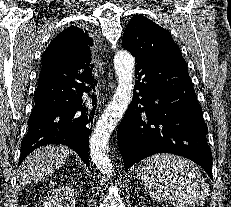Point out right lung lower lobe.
<instances>
[{
	"label": "right lung lower lobe",
	"instance_id": "right-lung-lower-lobe-1",
	"mask_svg": "<svg viewBox=\"0 0 231 207\" xmlns=\"http://www.w3.org/2000/svg\"><path fill=\"white\" fill-rule=\"evenodd\" d=\"M78 66L82 73L73 72L70 66L42 65L19 164L40 146L63 144L75 150L89 166L88 140L96 110L97 81L90 58ZM75 78L82 83L78 84Z\"/></svg>",
	"mask_w": 231,
	"mask_h": 207
}]
</instances>
